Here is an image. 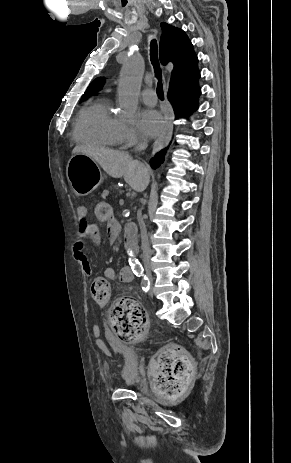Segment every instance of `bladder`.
I'll return each instance as SVG.
<instances>
[{
	"label": "bladder",
	"instance_id": "bladder-1",
	"mask_svg": "<svg viewBox=\"0 0 291 463\" xmlns=\"http://www.w3.org/2000/svg\"><path fill=\"white\" fill-rule=\"evenodd\" d=\"M116 349L125 363V368L120 375L122 383L130 387L137 386L139 384V377L136 372V366L139 363V359L136 354V348L121 343L116 345Z\"/></svg>",
	"mask_w": 291,
	"mask_h": 463
}]
</instances>
